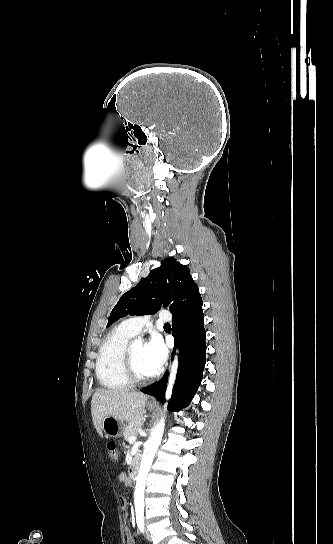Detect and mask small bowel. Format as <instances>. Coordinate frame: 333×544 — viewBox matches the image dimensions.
I'll return each instance as SVG.
<instances>
[{
	"label": "small bowel",
	"mask_w": 333,
	"mask_h": 544,
	"mask_svg": "<svg viewBox=\"0 0 333 544\" xmlns=\"http://www.w3.org/2000/svg\"><path fill=\"white\" fill-rule=\"evenodd\" d=\"M118 479L125 486H130L131 485L130 480L128 479V477L124 473H121L119 475ZM120 507H121L123 513L126 514L127 500L125 498H120ZM126 542H127V544H135L134 536L132 535V533L129 530L126 531Z\"/></svg>",
	"instance_id": "c3829d8e"
}]
</instances>
